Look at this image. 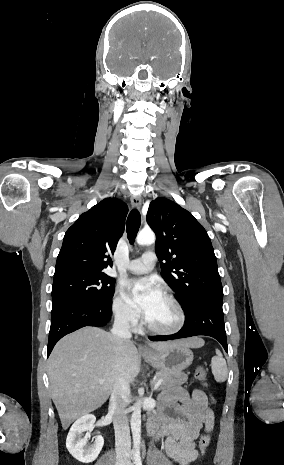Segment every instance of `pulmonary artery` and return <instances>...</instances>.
<instances>
[{"mask_svg":"<svg viewBox=\"0 0 284 465\" xmlns=\"http://www.w3.org/2000/svg\"><path fill=\"white\" fill-rule=\"evenodd\" d=\"M155 261L154 253H144L140 258L129 261L125 267L131 273L144 274L151 270Z\"/></svg>","mask_w":284,"mask_h":465,"instance_id":"obj_1","label":"pulmonary artery"}]
</instances>
